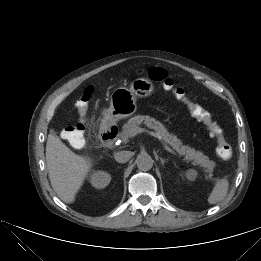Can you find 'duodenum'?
<instances>
[{
  "mask_svg": "<svg viewBox=\"0 0 261 261\" xmlns=\"http://www.w3.org/2000/svg\"><path fill=\"white\" fill-rule=\"evenodd\" d=\"M118 136V128L116 126L104 127L100 132V139L104 146L112 147Z\"/></svg>",
  "mask_w": 261,
  "mask_h": 261,
  "instance_id": "duodenum-1",
  "label": "duodenum"
}]
</instances>
